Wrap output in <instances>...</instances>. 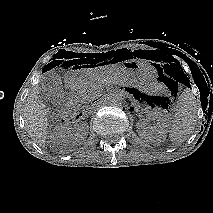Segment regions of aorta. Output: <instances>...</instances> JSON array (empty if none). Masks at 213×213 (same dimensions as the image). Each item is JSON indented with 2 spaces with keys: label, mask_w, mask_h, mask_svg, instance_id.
Wrapping results in <instances>:
<instances>
[{
  "label": "aorta",
  "mask_w": 213,
  "mask_h": 213,
  "mask_svg": "<svg viewBox=\"0 0 213 213\" xmlns=\"http://www.w3.org/2000/svg\"><path fill=\"white\" fill-rule=\"evenodd\" d=\"M122 102H123V98L119 93H113L108 98V104L114 107L121 106Z\"/></svg>",
  "instance_id": "aorta-1"
}]
</instances>
